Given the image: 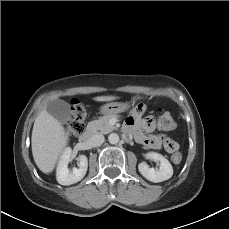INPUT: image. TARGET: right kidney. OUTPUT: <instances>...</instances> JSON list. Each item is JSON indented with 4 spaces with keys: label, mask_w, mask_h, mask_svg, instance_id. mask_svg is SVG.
<instances>
[{
    "label": "right kidney",
    "mask_w": 229,
    "mask_h": 229,
    "mask_svg": "<svg viewBox=\"0 0 229 229\" xmlns=\"http://www.w3.org/2000/svg\"><path fill=\"white\" fill-rule=\"evenodd\" d=\"M71 148L66 147L63 151V154L60 157V161L57 166L56 178L59 184L61 185H71L79 182L85 176L88 167V160L85 155H80L79 168H73L70 172L68 169V164L71 161Z\"/></svg>",
    "instance_id": "obj_1"
}]
</instances>
